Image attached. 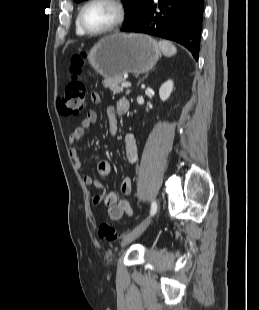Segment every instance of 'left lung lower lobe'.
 Wrapping results in <instances>:
<instances>
[{"instance_id": "left-lung-lower-lobe-1", "label": "left lung lower lobe", "mask_w": 259, "mask_h": 310, "mask_svg": "<svg viewBox=\"0 0 259 310\" xmlns=\"http://www.w3.org/2000/svg\"><path fill=\"white\" fill-rule=\"evenodd\" d=\"M204 0H149L141 15L122 31L140 32L170 39L185 46L197 60Z\"/></svg>"}]
</instances>
